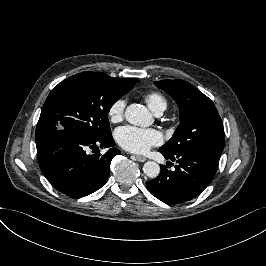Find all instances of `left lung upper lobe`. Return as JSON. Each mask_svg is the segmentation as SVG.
I'll list each match as a JSON object with an SVG mask.
<instances>
[{"label":"left lung upper lobe","mask_w":266,"mask_h":266,"mask_svg":"<svg viewBox=\"0 0 266 266\" xmlns=\"http://www.w3.org/2000/svg\"><path fill=\"white\" fill-rule=\"evenodd\" d=\"M155 85L172 96L180 109L181 123L161 149L175 154L200 148L221 154L224 128L213 102L184 80H162Z\"/></svg>","instance_id":"left-lung-upper-lobe-1"}]
</instances>
